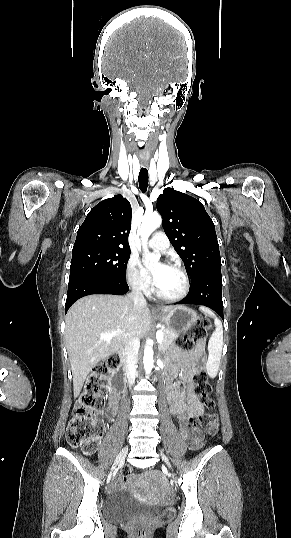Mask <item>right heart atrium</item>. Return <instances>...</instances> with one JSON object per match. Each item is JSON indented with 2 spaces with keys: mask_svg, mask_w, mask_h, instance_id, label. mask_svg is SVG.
<instances>
[{
  "mask_svg": "<svg viewBox=\"0 0 291 538\" xmlns=\"http://www.w3.org/2000/svg\"><path fill=\"white\" fill-rule=\"evenodd\" d=\"M126 278L135 291L145 293L149 290V283L140 271L138 259L135 256H131L127 263Z\"/></svg>",
  "mask_w": 291,
  "mask_h": 538,
  "instance_id": "d8ad5b80",
  "label": "right heart atrium"
}]
</instances>
